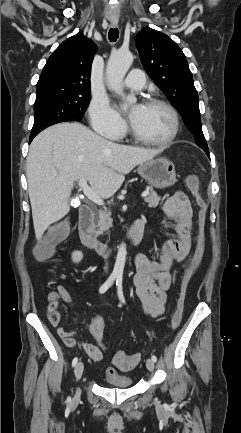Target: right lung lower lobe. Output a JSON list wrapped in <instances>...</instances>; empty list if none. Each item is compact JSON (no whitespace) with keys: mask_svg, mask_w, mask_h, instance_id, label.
<instances>
[{"mask_svg":"<svg viewBox=\"0 0 241 433\" xmlns=\"http://www.w3.org/2000/svg\"><path fill=\"white\" fill-rule=\"evenodd\" d=\"M35 136H36V135H30L29 142H31Z\"/></svg>","mask_w":241,"mask_h":433,"instance_id":"obj_1","label":"right lung lower lobe"}]
</instances>
